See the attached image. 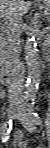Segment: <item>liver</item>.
<instances>
[{
    "label": "liver",
    "mask_w": 50,
    "mask_h": 148,
    "mask_svg": "<svg viewBox=\"0 0 50 148\" xmlns=\"http://www.w3.org/2000/svg\"><path fill=\"white\" fill-rule=\"evenodd\" d=\"M30 8L29 0H1L0 1V14L1 17L8 15H23Z\"/></svg>",
    "instance_id": "obj_1"
}]
</instances>
